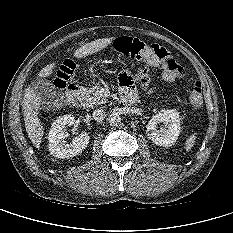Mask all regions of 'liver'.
<instances>
[{
    "instance_id": "6515ba94",
    "label": "liver",
    "mask_w": 233,
    "mask_h": 233,
    "mask_svg": "<svg viewBox=\"0 0 233 233\" xmlns=\"http://www.w3.org/2000/svg\"><path fill=\"white\" fill-rule=\"evenodd\" d=\"M115 37L112 38H102L92 41L78 48L74 52L75 58H84L85 56L94 54L101 51L110 45ZM55 63H51L45 66L38 74L39 77H47L52 73V69L55 68ZM41 99L34 91L32 85H30L26 90L23 98V110H24V121L25 128L29 139L36 148L40 147L41 140L43 137V127L38 118V110Z\"/></svg>"
}]
</instances>
